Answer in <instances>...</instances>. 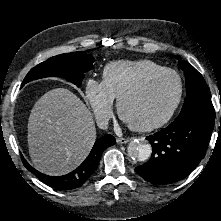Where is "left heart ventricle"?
<instances>
[{"label":"left heart ventricle","mask_w":221,"mask_h":221,"mask_svg":"<svg viewBox=\"0 0 221 221\" xmlns=\"http://www.w3.org/2000/svg\"><path fill=\"white\" fill-rule=\"evenodd\" d=\"M177 94V79L170 74L160 76L125 101L124 117L137 125L154 122L169 111Z\"/></svg>","instance_id":"b2bd125f"}]
</instances>
